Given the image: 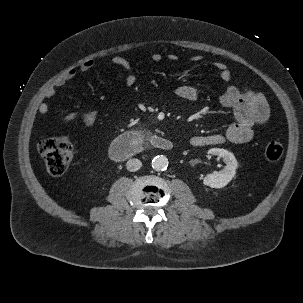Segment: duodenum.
<instances>
[{
    "label": "duodenum",
    "mask_w": 303,
    "mask_h": 303,
    "mask_svg": "<svg viewBox=\"0 0 303 303\" xmlns=\"http://www.w3.org/2000/svg\"><path fill=\"white\" fill-rule=\"evenodd\" d=\"M145 145L162 150L170 151L173 149L171 140L160 135H146L138 131H131L119 135L111 144L109 149L110 157L115 161H123L137 152Z\"/></svg>",
    "instance_id": "obj_1"
}]
</instances>
